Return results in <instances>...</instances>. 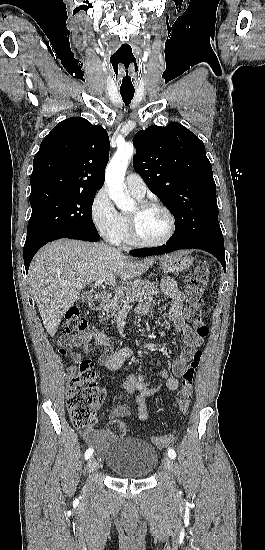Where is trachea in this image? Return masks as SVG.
Wrapping results in <instances>:
<instances>
[{
  "label": "trachea",
  "instance_id": "obj_1",
  "mask_svg": "<svg viewBox=\"0 0 265 550\" xmlns=\"http://www.w3.org/2000/svg\"><path fill=\"white\" fill-rule=\"evenodd\" d=\"M121 96H122V99L124 101V103L126 105H129L131 100L133 99V96H134V92H129V91H121L120 92Z\"/></svg>",
  "mask_w": 265,
  "mask_h": 550
}]
</instances>
